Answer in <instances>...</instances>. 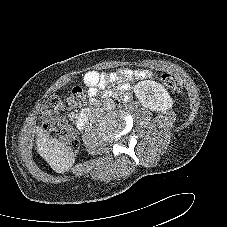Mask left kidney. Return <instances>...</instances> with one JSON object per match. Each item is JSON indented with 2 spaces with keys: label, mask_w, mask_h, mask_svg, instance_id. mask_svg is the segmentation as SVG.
<instances>
[{
  "label": "left kidney",
  "mask_w": 227,
  "mask_h": 227,
  "mask_svg": "<svg viewBox=\"0 0 227 227\" xmlns=\"http://www.w3.org/2000/svg\"><path fill=\"white\" fill-rule=\"evenodd\" d=\"M134 93L141 104L152 111H166L173 105L166 88L155 81L138 82L134 86Z\"/></svg>",
  "instance_id": "left-kidney-1"
}]
</instances>
